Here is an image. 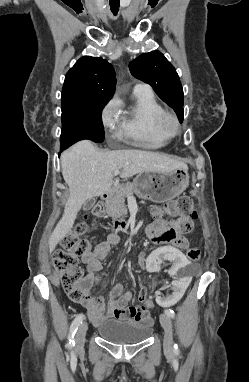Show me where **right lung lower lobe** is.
I'll return each instance as SVG.
<instances>
[{
  "label": "right lung lower lobe",
  "mask_w": 249,
  "mask_h": 382,
  "mask_svg": "<svg viewBox=\"0 0 249 382\" xmlns=\"http://www.w3.org/2000/svg\"><path fill=\"white\" fill-rule=\"evenodd\" d=\"M60 150H61V151H63V150H64V148H61Z\"/></svg>",
  "instance_id": "1"
}]
</instances>
